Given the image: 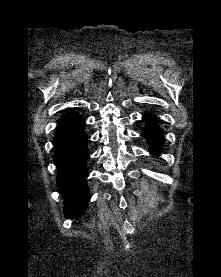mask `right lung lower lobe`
<instances>
[{
  "label": "right lung lower lobe",
  "instance_id": "1",
  "mask_svg": "<svg viewBox=\"0 0 221 277\" xmlns=\"http://www.w3.org/2000/svg\"><path fill=\"white\" fill-rule=\"evenodd\" d=\"M84 127L85 121L76 111H67L60 118L54 136L57 185L64 196L65 215L71 218L79 216L88 203L86 162L89 151Z\"/></svg>",
  "mask_w": 221,
  "mask_h": 277
}]
</instances>
